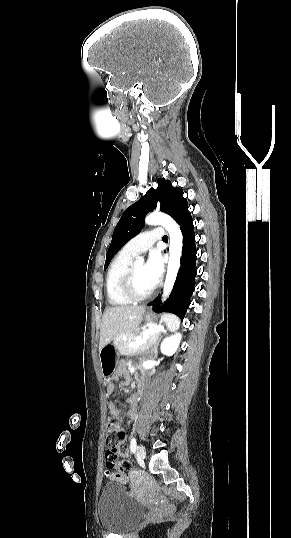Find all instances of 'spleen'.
<instances>
[{
  "mask_svg": "<svg viewBox=\"0 0 291 538\" xmlns=\"http://www.w3.org/2000/svg\"><path fill=\"white\" fill-rule=\"evenodd\" d=\"M163 319L165 320L169 330L171 331L177 330L180 326V319L173 314L166 313L163 315Z\"/></svg>",
  "mask_w": 291,
  "mask_h": 538,
  "instance_id": "3e777b00",
  "label": "spleen"
}]
</instances>
